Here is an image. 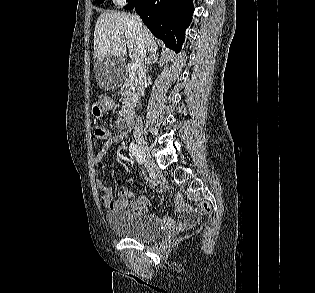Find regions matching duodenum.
Here are the masks:
<instances>
[{
	"instance_id": "obj_1",
	"label": "duodenum",
	"mask_w": 315,
	"mask_h": 293,
	"mask_svg": "<svg viewBox=\"0 0 315 293\" xmlns=\"http://www.w3.org/2000/svg\"><path fill=\"white\" fill-rule=\"evenodd\" d=\"M133 115L130 112H125L118 120V128L122 132H129L133 126Z\"/></svg>"
}]
</instances>
